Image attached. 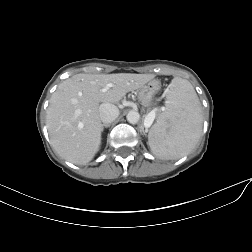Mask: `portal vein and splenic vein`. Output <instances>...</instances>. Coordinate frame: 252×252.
<instances>
[{
	"label": "portal vein and splenic vein",
	"instance_id": "obj_1",
	"mask_svg": "<svg viewBox=\"0 0 252 252\" xmlns=\"http://www.w3.org/2000/svg\"><path fill=\"white\" fill-rule=\"evenodd\" d=\"M110 87H112L111 84H108L105 88L102 89V92H106ZM156 117V112L155 110H152L151 112H149L144 120V125L145 127H149L151 126V124L153 123L154 119Z\"/></svg>",
	"mask_w": 252,
	"mask_h": 252
}]
</instances>
